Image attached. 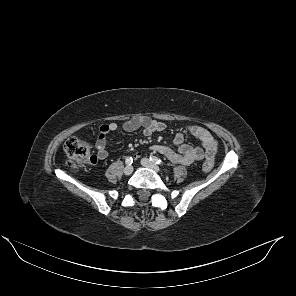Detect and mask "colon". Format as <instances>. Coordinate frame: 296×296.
<instances>
[{
  "label": "colon",
  "instance_id": "colon-1",
  "mask_svg": "<svg viewBox=\"0 0 296 296\" xmlns=\"http://www.w3.org/2000/svg\"><path fill=\"white\" fill-rule=\"evenodd\" d=\"M64 150L68 165L73 169H79L88 163L96 162L91 144L78 137L69 138L64 145ZM213 166L214 160L207 158L203 164V170L209 172Z\"/></svg>",
  "mask_w": 296,
  "mask_h": 296
}]
</instances>
